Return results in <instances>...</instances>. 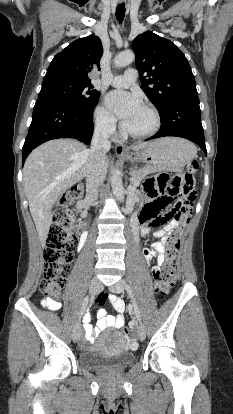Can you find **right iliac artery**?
<instances>
[{"mask_svg": "<svg viewBox=\"0 0 233 414\" xmlns=\"http://www.w3.org/2000/svg\"><path fill=\"white\" fill-rule=\"evenodd\" d=\"M89 296H87L85 299H84V302H83V304H82V308H81V311H80V316H79V320L81 319V316H82V314L84 313V311H85V309H86V307H87V305H88V303H89Z\"/></svg>", "mask_w": 233, "mask_h": 414, "instance_id": "obj_1", "label": "right iliac artery"}]
</instances>
